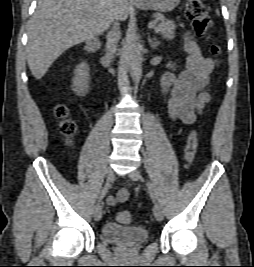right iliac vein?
<instances>
[{
	"label": "right iliac vein",
	"instance_id": "63e3f726",
	"mask_svg": "<svg viewBox=\"0 0 254 267\" xmlns=\"http://www.w3.org/2000/svg\"><path fill=\"white\" fill-rule=\"evenodd\" d=\"M113 176H114V174H113V170L111 169V168H108L107 170H106V172H105V177H106V179L108 180V179H110V180H112L113 179ZM93 216H94V219L96 220V221H99L101 218H102V207H101V205L100 204H96L95 206H94V208H93Z\"/></svg>",
	"mask_w": 254,
	"mask_h": 267
}]
</instances>
